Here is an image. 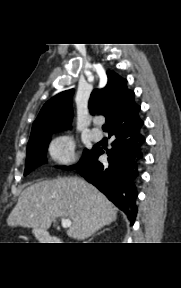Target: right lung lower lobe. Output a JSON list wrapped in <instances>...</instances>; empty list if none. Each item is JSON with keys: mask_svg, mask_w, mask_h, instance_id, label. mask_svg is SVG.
<instances>
[{"mask_svg": "<svg viewBox=\"0 0 181 288\" xmlns=\"http://www.w3.org/2000/svg\"><path fill=\"white\" fill-rule=\"evenodd\" d=\"M143 121L126 130L114 131L112 148L107 151L108 162L101 163L98 157L103 150L94 147L92 153L75 166L76 170L96 186L128 217L131 225L137 215V189L135 180L139 175L138 162L142 158L141 145L145 138L139 133Z\"/></svg>", "mask_w": 181, "mask_h": 288, "instance_id": "obj_1", "label": "right lung lower lobe"}]
</instances>
